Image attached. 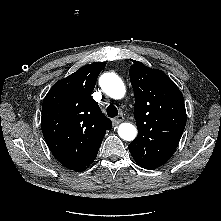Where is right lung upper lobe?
I'll list each match as a JSON object with an SVG mask.
<instances>
[{"label": "right lung upper lobe", "mask_w": 221, "mask_h": 221, "mask_svg": "<svg viewBox=\"0 0 221 221\" xmlns=\"http://www.w3.org/2000/svg\"><path fill=\"white\" fill-rule=\"evenodd\" d=\"M105 62L85 65L53 85L42 105L41 127L54 157L74 170L98 152L112 122L91 94Z\"/></svg>", "instance_id": "cb5924a9"}]
</instances>
